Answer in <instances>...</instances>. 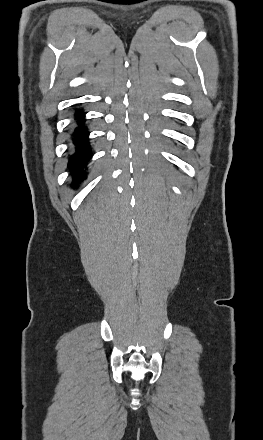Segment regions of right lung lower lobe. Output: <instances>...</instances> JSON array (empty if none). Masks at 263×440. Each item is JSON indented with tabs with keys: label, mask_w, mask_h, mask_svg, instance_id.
<instances>
[{
	"label": "right lung lower lobe",
	"mask_w": 263,
	"mask_h": 440,
	"mask_svg": "<svg viewBox=\"0 0 263 440\" xmlns=\"http://www.w3.org/2000/svg\"><path fill=\"white\" fill-rule=\"evenodd\" d=\"M84 113L77 112L76 118L84 121ZM88 132L85 129L77 128L74 133V144L76 146V153L70 158L69 167L74 176V183L82 180L85 175L83 172V167H85L88 161L91 150L88 143Z\"/></svg>",
	"instance_id": "right-lung-lower-lobe-1"
}]
</instances>
